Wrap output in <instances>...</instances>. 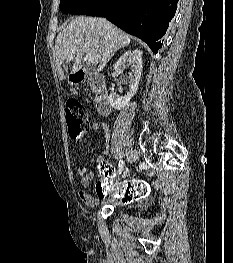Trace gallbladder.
I'll return each mask as SVG.
<instances>
[{"instance_id":"obj_1","label":"gallbladder","mask_w":233,"mask_h":263,"mask_svg":"<svg viewBox=\"0 0 233 263\" xmlns=\"http://www.w3.org/2000/svg\"><path fill=\"white\" fill-rule=\"evenodd\" d=\"M64 68L67 70V66H64Z\"/></svg>"}]
</instances>
